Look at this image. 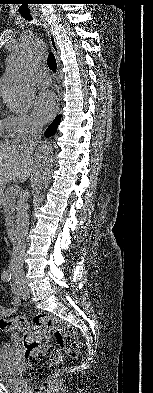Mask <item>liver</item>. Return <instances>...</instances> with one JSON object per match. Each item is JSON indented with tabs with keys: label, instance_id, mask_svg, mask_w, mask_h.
I'll list each match as a JSON object with an SVG mask.
<instances>
[{
	"label": "liver",
	"instance_id": "obj_1",
	"mask_svg": "<svg viewBox=\"0 0 153 393\" xmlns=\"http://www.w3.org/2000/svg\"><path fill=\"white\" fill-rule=\"evenodd\" d=\"M34 168L33 156L25 152L23 146L0 144V189L15 179L25 182Z\"/></svg>",
	"mask_w": 153,
	"mask_h": 393
}]
</instances>
